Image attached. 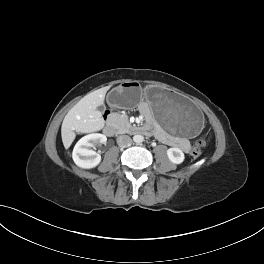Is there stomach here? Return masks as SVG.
Returning a JSON list of instances; mask_svg holds the SVG:
<instances>
[{"label":"stomach","instance_id":"0dacf381","mask_svg":"<svg viewBox=\"0 0 264 264\" xmlns=\"http://www.w3.org/2000/svg\"><path fill=\"white\" fill-rule=\"evenodd\" d=\"M108 100L118 108H131L144 101L153 118L167 132L179 137H197L204 130L202 113L190 100L159 86L150 85L139 92L133 84L125 82L114 89Z\"/></svg>","mask_w":264,"mask_h":264}]
</instances>
